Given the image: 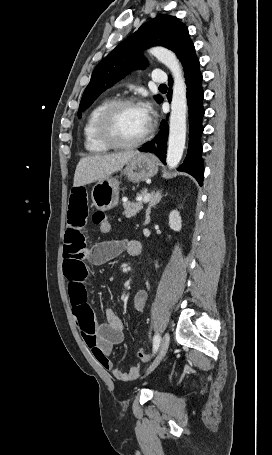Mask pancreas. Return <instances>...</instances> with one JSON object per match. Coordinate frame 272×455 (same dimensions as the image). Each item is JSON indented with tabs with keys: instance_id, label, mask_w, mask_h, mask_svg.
Segmentation results:
<instances>
[{
	"instance_id": "cf45deb5",
	"label": "pancreas",
	"mask_w": 272,
	"mask_h": 455,
	"mask_svg": "<svg viewBox=\"0 0 272 455\" xmlns=\"http://www.w3.org/2000/svg\"><path fill=\"white\" fill-rule=\"evenodd\" d=\"M147 194L146 190H143L139 196L144 197ZM124 207V215L126 218H131L134 217L142 208V201H137V202H125L123 204Z\"/></svg>"
}]
</instances>
